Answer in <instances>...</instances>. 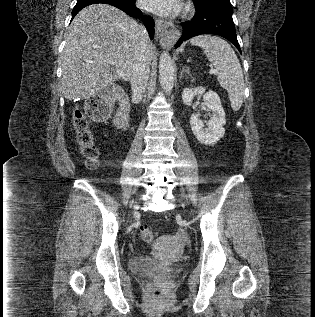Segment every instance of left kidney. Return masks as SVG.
Returning <instances> with one entry per match:
<instances>
[{
  "mask_svg": "<svg viewBox=\"0 0 315 317\" xmlns=\"http://www.w3.org/2000/svg\"><path fill=\"white\" fill-rule=\"evenodd\" d=\"M196 95H203L204 105L212 112L211 119L206 123L200 119L199 113L190 117V125L195 137L205 145L216 144L225 134L226 124L225 111L221 105L218 94L214 91L205 93L204 87L185 88L182 93V100L185 105L190 106Z\"/></svg>",
  "mask_w": 315,
  "mask_h": 317,
  "instance_id": "left-kidney-1",
  "label": "left kidney"
}]
</instances>
